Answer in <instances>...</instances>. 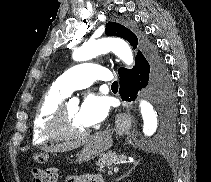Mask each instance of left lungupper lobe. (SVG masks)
Instances as JSON below:
<instances>
[{
  "label": "left lung upper lobe",
  "mask_w": 211,
  "mask_h": 182,
  "mask_svg": "<svg viewBox=\"0 0 211 182\" xmlns=\"http://www.w3.org/2000/svg\"><path fill=\"white\" fill-rule=\"evenodd\" d=\"M105 34L108 35V36L121 37V38L127 40L133 46L134 49H136V47H137V44H138L137 36L121 24H118V23H115V22H108L106 24ZM124 70H126V69L125 68H119L118 73H120ZM174 112H175L174 107H171L169 109V115H168L169 119L173 118Z\"/></svg>",
  "instance_id": "5c2ea615"
}]
</instances>
